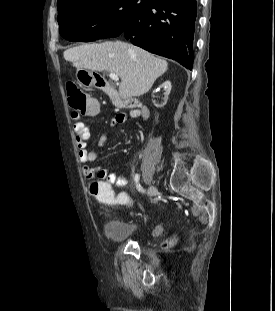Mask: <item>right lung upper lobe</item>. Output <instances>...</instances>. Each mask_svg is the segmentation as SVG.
I'll use <instances>...</instances> for the list:
<instances>
[{
  "label": "right lung upper lobe",
  "instance_id": "1",
  "mask_svg": "<svg viewBox=\"0 0 275 311\" xmlns=\"http://www.w3.org/2000/svg\"><path fill=\"white\" fill-rule=\"evenodd\" d=\"M67 1H71V0H58L57 5H60V4L65 3Z\"/></svg>",
  "mask_w": 275,
  "mask_h": 311
}]
</instances>
